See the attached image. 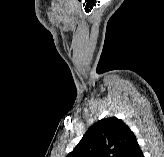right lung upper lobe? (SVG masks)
I'll use <instances>...</instances> for the list:
<instances>
[{
  "mask_svg": "<svg viewBox=\"0 0 164 157\" xmlns=\"http://www.w3.org/2000/svg\"><path fill=\"white\" fill-rule=\"evenodd\" d=\"M135 141L123 121L110 117L93 124L66 157H124Z\"/></svg>",
  "mask_w": 164,
  "mask_h": 157,
  "instance_id": "cb5924a9",
  "label": "right lung upper lobe"
}]
</instances>
